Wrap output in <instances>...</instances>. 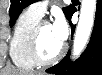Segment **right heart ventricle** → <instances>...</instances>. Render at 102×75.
<instances>
[{
    "label": "right heart ventricle",
    "instance_id": "right-heart-ventricle-1",
    "mask_svg": "<svg viewBox=\"0 0 102 75\" xmlns=\"http://www.w3.org/2000/svg\"><path fill=\"white\" fill-rule=\"evenodd\" d=\"M41 17L29 8L18 17L10 41V56L14 64L20 68L31 69L35 63L28 52V40L35 25Z\"/></svg>",
    "mask_w": 102,
    "mask_h": 75
}]
</instances>
